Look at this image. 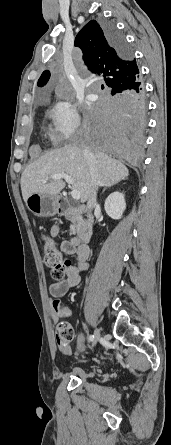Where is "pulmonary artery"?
<instances>
[{"label": "pulmonary artery", "mask_w": 171, "mask_h": 445, "mask_svg": "<svg viewBox=\"0 0 171 445\" xmlns=\"http://www.w3.org/2000/svg\"><path fill=\"white\" fill-rule=\"evenodd\" d=\"M95 98H96V96L93 95V94H91V95L88 96V99H89V100H94Z\"/></svg>", "instance_id": "e3ab8cb5"}]
</instances>
